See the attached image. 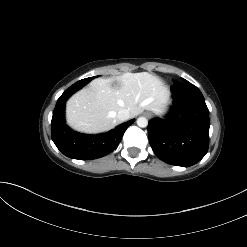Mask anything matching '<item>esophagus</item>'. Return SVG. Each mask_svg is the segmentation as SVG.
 Wrapping results in <instances>:
<instances>
[{
    "instance_id": "esophagus-1",
    "label": "esophagus",
    "mask_w": 247,
    "mask_h": 247,
    "mask_svg": "<svg viewBox=\"0 0 247 247\" xmlns=\"http://www.w3.org/2000/svg\"><path fill=\"white\" fill-rule=\"evenodd\" d=\"M144 116H146L147 118L151 117V114L149 112H145Z\"/></svg>"
}]
</instances>
